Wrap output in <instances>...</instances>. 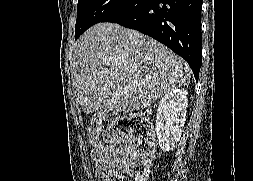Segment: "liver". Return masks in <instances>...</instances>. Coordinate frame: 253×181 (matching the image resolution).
Instances as JSON below:
<instances>
[{"label": "liver", "mask_w": 253, "mask_h": 181, "mask_svg": "<svg viewBox=\"0 0 253 181\" xmlns=\"http://www.w3.org/2000/svg\"><path fill=\"white\" fill-rule=\"evenodd\" d=\"M72 68L86 114L139 111L191 76L188 64L166 46L114 23H98L77 40Z\"/></svg>", "instance_id": "obj_1"}]
</instances>
